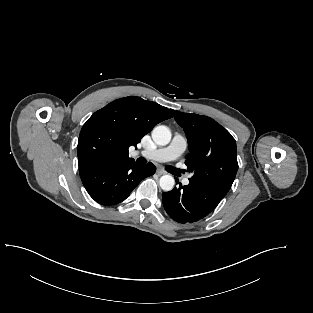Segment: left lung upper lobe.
Masks as SVG:
<instances>
[{
  "instance_id": "left-lung-upper-lobe-1",
  "label": "left lung upper lobe",
  "mask_w": 313,
  "mask_h": 313,
  "mask_svg": "<svg viewBox=\"0 0 313 313\" xmlns=\"http://www.w3.org/2000/svg\"><path fill=\"white\" fill-rule=\"evenodd\" d=\"M172 112L188 139L189 153L185 164L193 172L189 181L227 194L238 170L235 139L207 116Z\"/></svg>"
}]
</instances>
